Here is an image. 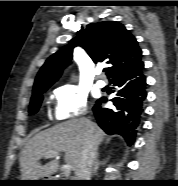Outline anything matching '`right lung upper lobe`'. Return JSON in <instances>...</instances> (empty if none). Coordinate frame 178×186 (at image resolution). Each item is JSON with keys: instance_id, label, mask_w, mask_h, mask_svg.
<instances>
[{"instance_id": "1", "label": "right lung upper lobe", "mask_w": 178, "mask_h": 186, "mask_svg": "<svg viewBox=\"0 0 178 186\" xmlns=\"http://www.w3.org/2000/svg\"><path fill=\"white\" fill-rule=\"evenodd\" d=\"M81 46L94 63L112 66L106 73L111 78L124 68L141 61L142 51L134 36L115 21L89 24L80 30L67 46L51 55L38 72L33 86V95L48 89L60 77L62 70L71 63L73 48Z\"/></svg>"}]
</instances>
